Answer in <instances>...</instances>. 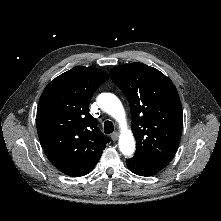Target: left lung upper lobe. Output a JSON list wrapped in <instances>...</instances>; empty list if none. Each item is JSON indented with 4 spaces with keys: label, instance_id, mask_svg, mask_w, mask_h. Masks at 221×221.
Instances as JSON below:
<instances>
[{
    "label": "left lung upper lobe",
    "instance_id": "1",
    "mask_svg": "<svg viewBox=\"0 0 221 221\" xmlns=\"http://www.w3.org/2000/svg\"><path fill=\"white\" fill-rule=\"evenodd\" d=\"M110 76L130 104L134 158L166 167L182 132V106L174 84L159 70L138 62L116 66Z\"/></svg>",
    "mask_w": 221,
    "mask_h": 221
}]
</instances>
